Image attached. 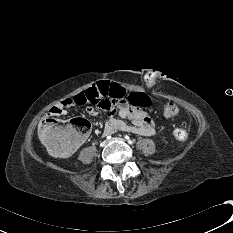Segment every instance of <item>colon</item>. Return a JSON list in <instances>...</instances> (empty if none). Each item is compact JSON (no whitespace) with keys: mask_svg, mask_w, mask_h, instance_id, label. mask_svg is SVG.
Segmentation results:
<instances>
[{"mask_svg":"<svg viewBox=\"0 0 233 233\" xmlns=\"http://www.w3.org/2000/svg\"><path fill=\"white\" fill-rule=\"evenodd\" d=\"M111 95L114 97L112 100L124 99L136 109L148 106V98L143 92L132 90L128 93L121 82L113 79L98 81L93 87L72 97V101L75 105H86L89 108L93 105L96 106L98 100ZM178 113L179 107L172 102L167 103L163 108V115L167 118L176 116ZM90 129V122L84 118H74L67 124L47 118L41 124L39 135L53 156L66 158L75 152ZM173 136L177 140H186L189 137V130L177 127L173 130Z\"/></svg>","mask_w":233,"mask_h":233,"instance_id":"colon-1","label":"colon"}]
</instances>
